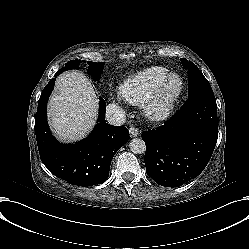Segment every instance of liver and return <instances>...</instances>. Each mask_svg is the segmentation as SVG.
<instances>
[{
  "mask_svg": "<svg viewBox=\"0 0 249 249\" xmlns=\"http://www.w3.org/2000/svg\"><path fill=\"white\" fill-rule=\"evenodd\" d=\"M99 100L84 74L71 71L60 75L48 103L49 124L63 142L86 137L96 124Z\"/></svg>",
  "mask_w": 249,
  "mask_h": 249,
  "instance_id": "obj_1",
  "label": "liver"
}]
</instances>
